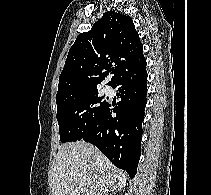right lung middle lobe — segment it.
I'll return each instance as SVG.
<instances>
[{
	"label": "right lung middle lobe",
	"mask_w": 211,
	"mask_h": 195,
	"mask_svg": "<svg viewBox=\"0 0 211 195\" xmlns=\"http://www.w3.org/2000/svg\"><path fill=\"white\" fill-rule=\"evenodd\" d=\"M108 102L98 91H92L57 105L61 142L80 140L97 121Z\"/></svg>",
	"instance_id": "right-lung-middle-lobe-1"
}]
</instances>
